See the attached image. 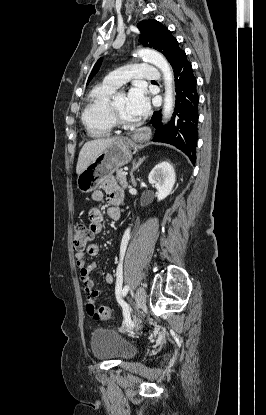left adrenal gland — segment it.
<instances>
[{
	"instance_id": "a2214340",
	"label": "left adrenal gland",
	"mask_w": 266,
	"mask_h": 415,
	"mask_svg": "<svg viewBox=\"0 0 266 415\" xmlns=\"http://www.w3.org/2000/svg\"><path fill=\"white\" fill-rule=\"evenodd\" d=\"M144 160H145V157L140 158L138 162H136V160H134V161H133L132 170H131V172H130L131 182H132V185H133V186H136V181H135V178H134L133 172H134L135 170H137V169L140 167V165L143 163V161H144Z\"/></svg>"
}]
</instances>
